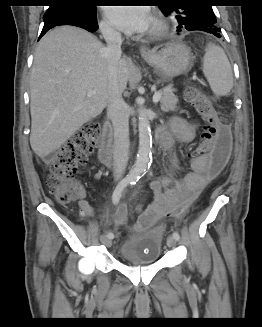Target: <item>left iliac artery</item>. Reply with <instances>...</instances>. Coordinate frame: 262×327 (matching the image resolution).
<instances>
[{"mask_svg":"<svg viewBox=\"0 0 262 327\" xmlns=\"http://www.w3.org/2000/svg\"><path fill=\"white\" fill-rule=\"evenodd\" d=\"M139 181V178L134 179L133 183L131 185H135L137 182ZM173 237L175 240H179L180 239V235L177 231L173 232Z\"/></svg>","mask_w":262,"mask_h":327,"instance_id":"obj_1","label":"left iliac artery"}]
</instances>
